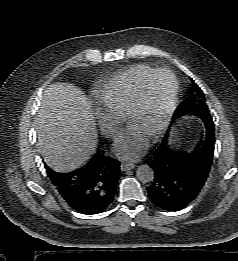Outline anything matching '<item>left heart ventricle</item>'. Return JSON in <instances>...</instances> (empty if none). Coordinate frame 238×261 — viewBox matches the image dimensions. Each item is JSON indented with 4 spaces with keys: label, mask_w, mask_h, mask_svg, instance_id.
I'll return each mask as SVG.
<instances>
[{
    "label": "left heart ventricle",
    "mask_w": 238,
    "mask_h": 261,
    "mask_svg": "<svg viewBox=\"0 0 238 261\" xmlns=\"http://www.w3.org/2000/svg\"><path fill=\"white\" fill-rule=\"evenodd\" d=\"M174 88L170 74L156 76L147 86L143 108L130 124L146 134H150L162 118Z\"/></svg>",
    "instance_id": "1"
}]
</instances>
